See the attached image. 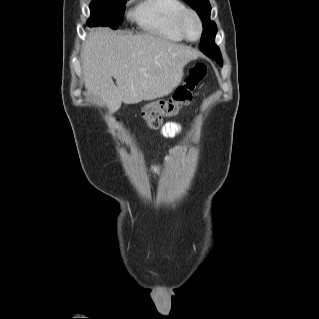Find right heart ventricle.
Instances as JSON below:
<instances>
[{
	"instance_id": "1",
	"label": "right heart ventricle",
	"mask_w": 319,
	"mask_h": 319,
	"mask_svg": "<svg viewBox=\"0 0 319 319\" xmlns=\"http://www.w3.org/2000/svg\"><path fill=\"white\" fill-rule=\"evenodd\" d=\"M185 9L181 0H144L131 16L147 34L178 42L184 38L176 29V20Z\"/></svg>"
}]
</instances>
